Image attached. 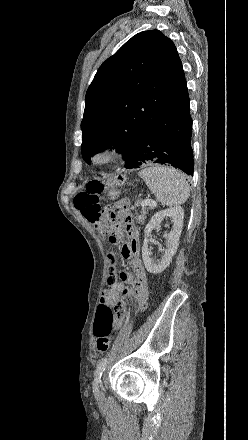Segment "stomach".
<instances>
[{"label":"stomach","instance_id":"obj_1","mask_svg":"<svg viewBox=\"0 0 248 440\" xmlns=\"http://www.w3.org/2000/svg\"><path fill=\"white\" fill-rule=\"evenodd\" d=\"M120 196V191L115 189V188H111L107 191V197L110 200H115Z\"/></svg>","mask_w":248,"mask_h":440}]
</instances>
